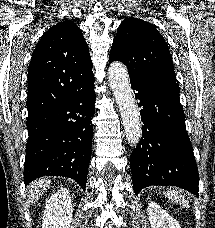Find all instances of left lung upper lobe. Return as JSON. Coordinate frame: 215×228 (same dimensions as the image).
<instances>
[{
    "instance_id": "obj_1",
    "label": "left lung upper lobe",
    "mask_w": 215,
    "mask_h": 228,
    "mask_svg": "<svg viewBox=\"0 0 215 228\" xmlns=\"http://www.w3.org/2000/svg\"><path fill=\"white\" fill-rule=\"evenodd\" d=\"M109 60L122 61L131 80L176 83L172 58L164 38L144 20L129 17L120 24Z\"/></svg>"
}]
</instances>
